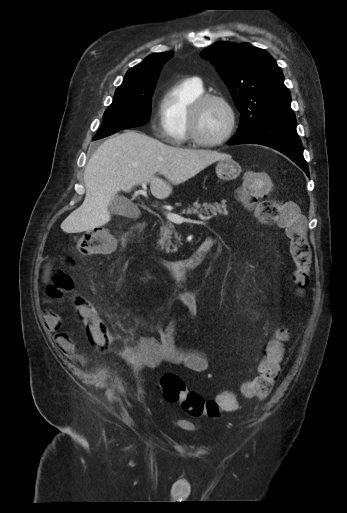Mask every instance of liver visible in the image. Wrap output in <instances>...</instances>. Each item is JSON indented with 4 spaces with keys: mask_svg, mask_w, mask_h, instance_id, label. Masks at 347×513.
<instances>
[{
    "mask_svg": "<svg viewBox=\"0 0 347 513\" xmlns=\"http://www.w3.org/2000/svg\"><path fill=\"white\" fill-rule=\"evenodd\" d=\"M228 158L226 153L172 147L144 133L125 131L103 142L90 158L84 172V202L62 222L61 229L80 233L103 226L111 219L108 208L118 192H130L145 182L153 196L165 199L173 190L170 183L181 184Z\"/></svg>",
    "mask_w": 347,
    "mask_h": 513,
    "instance_id": "1",
    "label": "liver"
}]
</instances>
